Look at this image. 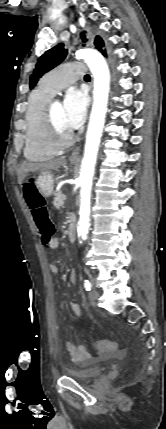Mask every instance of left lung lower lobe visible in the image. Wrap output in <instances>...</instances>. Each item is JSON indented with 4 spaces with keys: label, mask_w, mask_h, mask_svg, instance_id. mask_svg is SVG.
I'll list each match as a JSON object with an SVG mask.
<instances>
[{
    "label": "left lung lower lobe",
    "mask_w": 166,
    "mask_h": 429,
    "mask_svg": "<svg viewBox=\"0 0 166 429\" xmlns=\"http://www.w3.org/2000/svg\"><path fill=\"white\" fill-rule=\"evenodd\" d=\"M104 56H106V52L104 50L101 51Z\"/></svg>",
    "instance_id": "1"
}]
</instances>
